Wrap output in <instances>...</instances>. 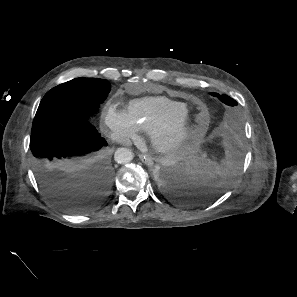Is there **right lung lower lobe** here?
<instances>
[{
  "instance_id": "1",
  "label": "right lung lower lobe",
  "mask_w": 297,
  "mask_h": 297,
  "mask_svg": "<svg viewBox=\"0 0 297 297\" xmlns=\"http://www.w3.org/2000/svg\"><path fill=\"white\" fill-rule=\"evenodd\" d=\"M107 142L83 118H64L32 129L30 148L43 192L60 209L99 208L112 186Z\"/></svg>"
}]
</instances>
